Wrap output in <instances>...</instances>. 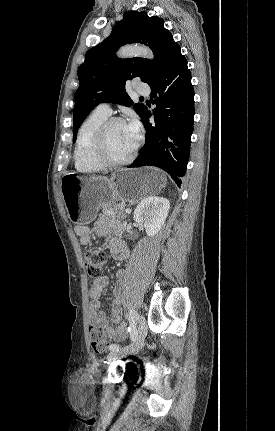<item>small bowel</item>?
<instances>
[{
  "mask_svg": "<svg viewBox=\"0 0 275 431\" xmlns=\"http://www.w3.org/2000/svg\"><path fill=\"white\" fill-rule=\"evenodd\" d=\"M75 233L80 238L82 245H90L92 242V230L83 225H77ZM94 231L109 240V249L114 259L124 261L129 257L130 251L127 244L117 238H110V234H120L122 226L119 222L107 218H100L96 221ZM121 274V273H120ZM109 285V280L106 276H101L95 279L90 287V304H89V323L90 325L99 326L106 334V336L113 341L120 342L126 338L127 330L123 323H121V303L118 299L113 301L111 305V317L107 318L103 311V304L100 300L101 294L104 289ZM116 295H120V291L116 290Z\"/></svg>",
  "mask_w": 275,
  "mask_h": 431,
  "instance_id": "1",
  "label": "small bowel"
}]
</instances>
